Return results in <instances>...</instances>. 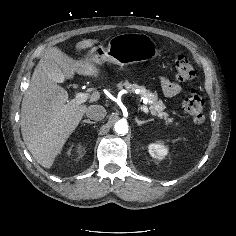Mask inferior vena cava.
I'll use <instances>...</instances> for the list:
<instances>
[{
	"instance_id": "602c4592",
	"label": "inferior vena cava",
	"mask_w": 236,
	"mask_h": 236,
	"mask_svg": "<svg viewBox=\"0 0 236 236\" xmlns=\"http://www.w3.org/2000/svg\"><path fill=\"white\" fill-rule=\"evenodd\" d=\"M106 114V109L101 105H91L86 110L87 117L95 121L102 120Z\"/></svg>"
}]
</instances>
